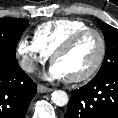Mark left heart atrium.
Returning <instances> with one entry per match:
<instances>
[{
	"label": "left heart atrium",
	"instance_id": "1",
	"mask_svg": "<svg viewBox=\"0 0 118 118\" xmlns=\"http://www.w3.org/2000/svg\"><path fill=\"white\" fill-rule=\"evenodd\" d=\"M46 78L49 80H61L66 78L64 71L57 65L52 64L46 74Z\"/></svg>",
	"mask_w": 118,
	"mask_h": 118
}]
</instances>
